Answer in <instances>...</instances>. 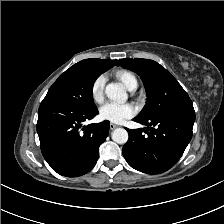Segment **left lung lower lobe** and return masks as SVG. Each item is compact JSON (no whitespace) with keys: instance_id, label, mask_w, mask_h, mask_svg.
I'll return each instance as SVG.
<instances>
[{"instance_id":"1","label":"left lung lower lobe","mask_w":224,"mask_h":224,"mask_svg":"<svg viewBox=\"0 0 224 224\" xmlns=\"http://www.w3.org/2000/svg\"><path fill=\"white\" fill-rule=\"evenodd\" d=\"M134 121L153 127L144 129L147 135L142 134L143 129H127L124 158L138 171L159 174L175 165L189 144L195 112L192 107L179 108L150 120L136 117Z\"/></svg>"}]
</instances>
